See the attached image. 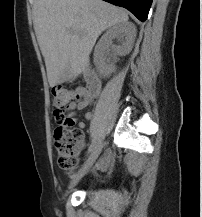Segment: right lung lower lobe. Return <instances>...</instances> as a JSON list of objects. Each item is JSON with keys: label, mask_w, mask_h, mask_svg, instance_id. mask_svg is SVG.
<instances>
[{"label": "right lung lower lobe", "mask_w": 202, "mask_h": 217, "mask_svg": "<svg viewBox=\"0 0 202 217\" xmlns=\"http://www.w3.org/2000/svg\"><path fill=\"white\" fill-rule=\"evenodd\" d=\"M116 6L128 9L140 21H145L152 4V0H104Z\"/></svg>", "instance_id": "right-lung-lower-lobe-1"}]
</instances>
